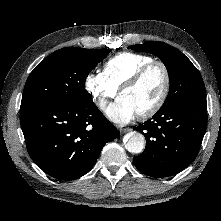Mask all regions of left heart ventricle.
Here are the masks:
<instances>
[{"label": "left heart ventricle", "mask_w": 221, "mask_h": 221, "mask_svg": "<svg viewBox=\"0 0 221 221\" xmlns=\"http://www.w3.org/2000/svg\"><path fill=\"white\" fill-rule=\"evenodd\" d=\"M164 86V73L159 66L152 67L134 87L125 90V97L136 113L150 108L160 97Z\"/></svg>", "instance_id": "1"}]
</instances>
